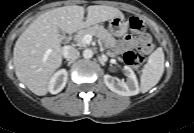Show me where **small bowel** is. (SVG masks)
Listing matches in <instances>:
<instances>
[{
	"label": "small bowel",
	"instance_id": "obj_1",
	"mask_svg": "<svg viewBox=\"0 0 194 133\" xmlns=\"http://www.w3.org/2000/svg\"><path fill=\"white\" fill-rule=\"evenodd\" d=\"M141 48L143 54H150L155 50V45L150 43V37L143 35L139 37L126 36L120 41L119 48L123 51Z\"/></svg>",
	"mask_w": 194,
	"mask_h": 133
}]
</instances>
